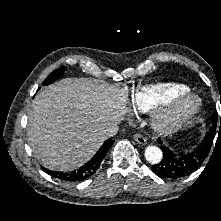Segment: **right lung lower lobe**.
Segmentation results:
<instances>
[{
    "instance_id": "1",
    "label": "right lung lower lobe",
    "mask_w": 221,
    "mask_h": 221,
    "mask_svg": "<svg viewBox=\"0 0 221 221\" xmlns=\"http://www.w3.org/2000/svg\"><path fill=\"white\" fill-rule=\"evenodd\" d=\"M113 142L114 141H112L111 139L106 140L101 146V148L97 151V153L93 156V158L75 171L56 172L46 168L43 169L47 172V174L63 181H68V182L83 181L96 172V170L99 168L101 162L103 161L105 155L107 154Z\"/></svg>"
}]
</instances>
